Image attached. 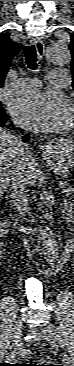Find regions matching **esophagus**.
I'll return each instance as SVG.
<instances>
[{"label": "esophagus", "mask_w": 74, "mask_h": 366, "mask_svg": "<svg viewBox=\"0 0 74 366\" xmlns=\"http://www.w3.org/2000/svg\"><path fill=\"white\" fill-rule=\"evenodd\" d=\"M32 42L37 49L38 55L41 58H44L45 46H44L43 42L40 39H33ZM48 152H49L48 148L46 146H43V153L46 155V154H48Z\"/></svg>", "instance_id": "1"}]
</instances>
